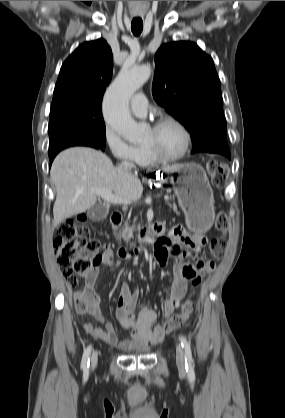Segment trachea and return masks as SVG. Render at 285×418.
I'll return each instance as SVG.
<instances>
[{
  "label": "trachea",
  "mask_w": 285,
  "mask_h": 418,
  "mask_svg": "<svg viewBox=\"0 0 285 418\" xmlns=\"http://www.w3.org/2000/svg\"><path fill=\"white\" fill-rule=\"evenodd\" d=\"M131 30L135 36H139L143 30V21L141 18H133Z\"/></svg>",
  "instance_id": "trachea-1"
}]
</instances>
